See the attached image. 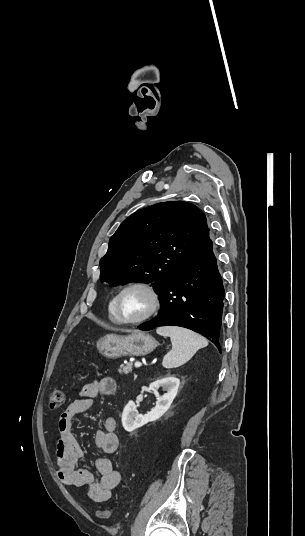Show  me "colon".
Wrapping results in <instances>:
<instances>
[{"mask_svg": "<svg viewBox=\"0 0 305 536\" xmlns=\"http://www.w3.org/2000/svg\"><path fill=\"white\" fill-rule=\"evenodd\" d=\"M65 393L62 390H53L49 394V408L52 411L59 410L65 405ZM112 514L110 509H105L96 512V516L100 519H108Z\"/></svg>", "mask_w": 305, "mask_h": 536, "instance_id": "1", "label": "colon"}]
</instances>
